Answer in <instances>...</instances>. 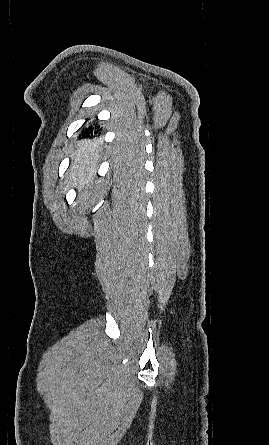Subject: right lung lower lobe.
Returning <instances> with one entry per match:
<instances>
[{
    "instance_id": "98d812e1",
    "label": "right lung lower lobe",
    "mask_w": 269,
    "mask_h": 445,
    "mask_svg": "<svg viewBox=\"0 0 269 445\" xmlns=\"http://www.w3.org/2000/svg\"><path fill=\"white\" fill-rule=\"evenodd\" d=\"M98 125L96 123H93V125L88 126L83 132L84 135L90 136V135H98Z\"/></svg>"
}]
</instances>
